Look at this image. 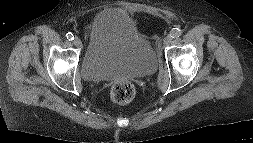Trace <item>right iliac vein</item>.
<instances>
[{"instance_id":"63e3f726","label":"right iliac vein","mask_w":253,"mask_h":143,"mask_svg":"<svg viewBox=\"0 0 253 143\" xmlns=\"http://www.w3.org/2000/svg\"><path fill=\"white\" fill-rule=\"evenodd\" d=\"M73 44H74L75 46H77V47H80V46L82 45V42H81V40H80L78 37H75V38L73 39Z\"/></svg>"}]
</instances>
